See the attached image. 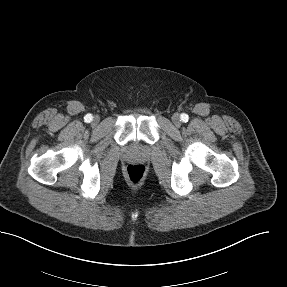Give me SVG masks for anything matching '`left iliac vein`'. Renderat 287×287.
<instances>
[{
  "label": "left iliac vein",
  "mask_w": 287,
  "mask_h": 287,
  "mask_svg": "<svg viewBox=\"0 0 287 287\" xmlns=\"http://www.w3.org/2000/svg\"><path fill=\"white\" fill-rule=\"evenodd\" d=\"M172 122L176 127H179L181 125V118L178 113L173 114L172 116Z\"/></svg>",
  "instance_id": "obj_1"
}]
</instances>
